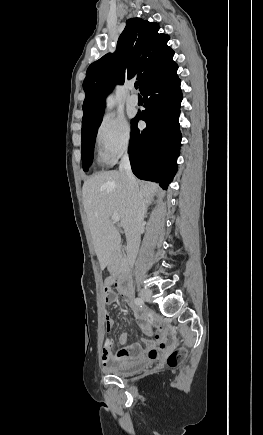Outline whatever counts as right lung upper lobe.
Segmentation results:
<instances>
[{
	"label": "right lung upper lobe",
	"instance_id": "right-lung-upper-lobe-1",
	"mask_svg": "<svg viewBox=\"0 0 263 435\" xmlns=\"http://www.w3.org/2000/svg\"><path fill=\"white\" fill-rule=\"evenodd\" d=\"M159 24L141 18L127 20L114 54H106L87 69L83 88L82 129L103 117L105 98L117 84L137 77L140 91L170 68L174 51L167 45L170 37L159 34Z\"/></svg>",
	"mask_w": 263,
	"mask_h": 435
}]
</instances>
